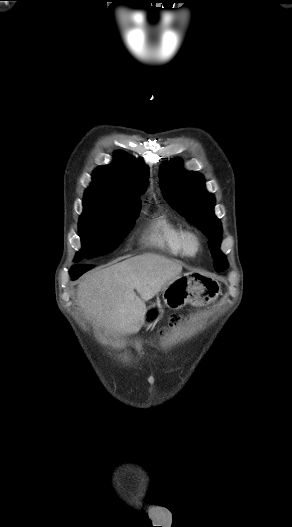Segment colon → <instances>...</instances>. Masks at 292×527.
I'll list each match as a JSON object with an SVG mask.
<instances>
[{
    "label": "colon",
    "mask_w": 292,
    "mask_h": 527,
    "mask_svg": "<svg viewBox=\"0 0 292 527\" xmlns=\"http://www.w3.org/2000/svg\"><path fill=\"white\" fill-rule=\"evenodd\" d=\"M180 323V318L178 316H173L170 320V324H169V327H166V328H163L161 331H160V334H165L168 332L169 329H173V328H176L178 326V324Z\"/></svg>",
    "instance_id": "1"
}]
</instances>
